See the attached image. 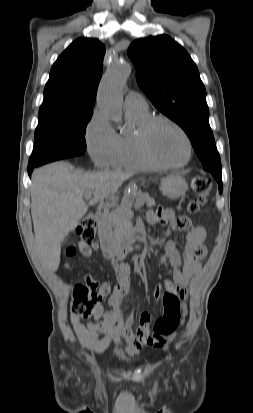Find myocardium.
<instances>
[{"label":"myocardium","mask_w":253,"mask_h":413,"mask_svg":"<svg viewBox=\"0 0 253 413\" xmlns=\"http://www.w3.org/2000/svg\"><path fill=\"white\" fill-rule=\"evenodd\" d=\"M167 123L173 128H175L184 138L185 143H186V148H187V155L186 158L177 164H168L160 161L157 159L154 154L151 151L150 145H149V135L152 130V128L158 124V123ZM137 143L140 149L141 154L143 157L154 167L160 168V169H178L186 166L189 161L191 160L192 157V142L190 140V137L188 136L187 132L184 130L182 126H180L177 122L172 120L169 117L158 115V116H150L147 118L143 123L140 124V126L137 129Z\"/></svg>","instance_id":"f54148a6"}]
</instances>
